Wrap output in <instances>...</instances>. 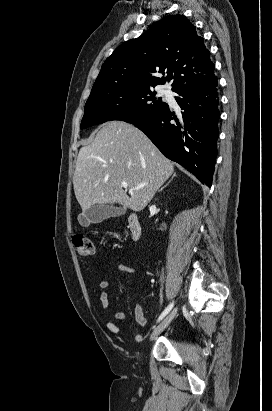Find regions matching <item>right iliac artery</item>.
Wrapping results in <instances>:
<instances>
[{"instance_id": "1", "label": "right iliac artery", "mask_w": 272, "mask_h": 411, "mask_svg": "<svg viewBox=\"0 0 272 411\" xmlns=\"http://www.w3.org/2000/svg\"><path fill=\"white\" fill-rule=\"evenodd\" d=\"M174 306V302L170 303L165 310L162 312V314L159 316L157 322H160L172 309V307Z\"/></svg>"}]
</instances>
